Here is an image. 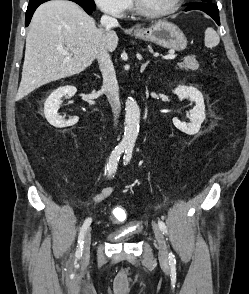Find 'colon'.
Listing matches in <instances>:
<instances>
[{"instance_id":"5ec220e1","label":"colon","mask_w":249,"mask_h":294,"mask_svg":"<svg viewBox=\"0 0 249 294\" xmlns=\"http://www.w3.org/2000/svg\"><path fill=\"white\" fill-rule=\"evenodd\" d=\"M116 218H123L125 219L126 217V212L123 208H117V212L115 214Z\"/></svg>"}]
</instances>
